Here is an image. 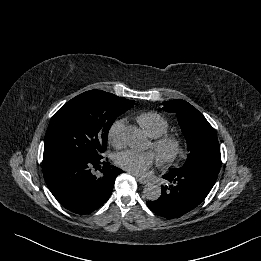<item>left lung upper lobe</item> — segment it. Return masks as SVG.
Segmentation results:
<instances>
[{
	"mask_svg": "<svg viewBox=\"0 0 261 261\" xmlns=\"http://www.w3.org/2000/svg\"><path fill=\"white\" fill-rule=\"evenodd\" d=\"M163 105V110L176 113L188 145L189 154L181 168L201 167L219 173L221 166L219 142L214 128L202 113L181 99L164 102Z\"/></svg>",
	"mask_w": 261,
	"mask_h": 261,
	"instance_id": "obj_1",
	"label": "left lung upper lobe"
}]
</instances>
